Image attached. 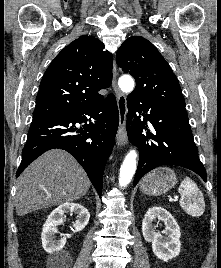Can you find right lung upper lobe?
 <instances>
[{
  "label": "right lung upper lobe",
  "instance_id": "right-lung-upper-lobe-1",
  "mask_svg": "<svg viewBox=\"0 0 221 268\" xmlns=\"http://www.w3.org/2000/svg\"><path fill=\"white\" fill-rule=\"evenodd\" d=\"M97 38L84 35L65 47L47 68L33 118L59 116L95 105L112 83V55Z\"/></svg>",
  "mask_w": 221,
  "mask_h": 268
}]
</instances>
